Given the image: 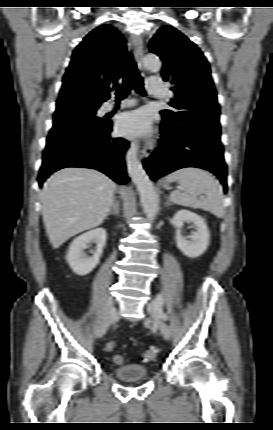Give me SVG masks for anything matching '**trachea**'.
Instances as JSON below:
<instances>
[{"label":"trachea","instance_id":"3493384b","mask_svg":"<svg viewBox=\"0 0 273 430\" xmlns=\"http://www.w3.org/2000/svg\"><path fill=\"white\" fill-rule=\"evenodd\" d=\"M133 87L137 93L145 95L143 79L140 76L137 65L133 59L132 54H128L125 62V76L122 85L116 91V99L122 100L130 93Z\"/></svg>","mask_w":273,"mask_h":430}]
</instances>
